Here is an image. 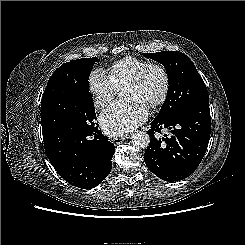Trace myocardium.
I'll return each mask as SVG.
<instances>
[{
	"mask_svg": "<svg viewBox=\"0 0 245 245\" xmlns=\"http://www.w3.org/2000/svg\"><path fill=\"white\" fill-rule=\"evenodd\" d=\"M153 69L158 70L161 73L163 79V87L159 97L150 103V107L157 108L164 104L170 90V76L164 65L160 63H148L125 84L124 88L139 85L144 80L148 72Z\"/></svg>",
	"mask_w": 245,
	"mask_h": 245,
	"instance_id": "obj_1",
	"label": "myocardium"
}]
</instances>
